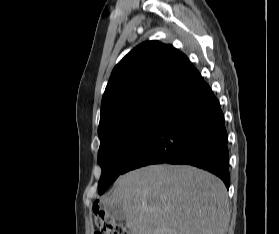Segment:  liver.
<instances>
[{
	"label": "liver",
	"instance_id": "1",
	"mask_svg": "<svg viewBox=\"0 0 279 234\" xmlns=\"http://www.w3.org/2000/svg\"><path fill=\"white\" fill-rule=\"evenodd\" d=\"M104 205L119 204L131 234H224V183L185 165H151L120 176Z\"/></svg>",
	"mask_w": 279,
	"mask_h": 234
}]
</instances>
